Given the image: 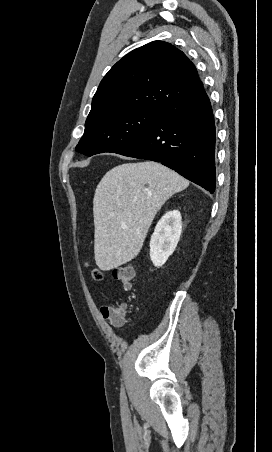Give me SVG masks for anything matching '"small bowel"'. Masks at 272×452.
I'll use <instances>...</instances> for the list:
<instances>
[{"mask_svg":"<svg viewBox=\"0 0 272 452\" xmlns=\"http://www.w3.org/2000/svg\"><path fill=\"white\" fill-rule=\"evenodd\" d=\"M108 306L109 305L105 304L101 307L102 316L105 319L109 320L111 325L115 328H119V327L123 326L126 321V313H124L122 315H118L117 313H114V312H108V310H107Z\"/></svg>","mask_w":272,"mask_h":452,"instance_id":"c3829d8e","label":"small bowel"}]
</instances>
